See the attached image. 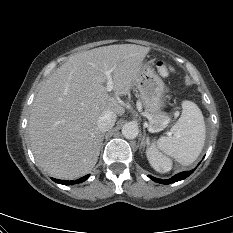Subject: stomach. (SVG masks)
Wrapping results in <instances>:
<instances>
[{"mask_svg":"<svg viewBox=\"0 0 233 233\" xmlns=\"http://www.w3.org/2000/svg\"><path fill=\"white\" fill-rule=\"evenodd\" d=\"M136 87L146 110L151 114L160 113L164 106L165 86L163 80L152 68L151 61L143 65L136 81Z\"/></svg>","mask_w":233,"mask_h":233,"instance_id":"stomach-1","label":"stomach"}]
</instances>
